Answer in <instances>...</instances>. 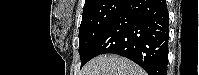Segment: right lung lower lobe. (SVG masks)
Masks as SVG:
<instances>
[{
    "instance_id": "obj_1",
    "label": "right lung lower lobe",
    "mask_w": 199,
    "mask_h": 75,
    "mask_svg": "<svg viewBox=\"0 0 199 75\" xmlns=\"http://www.w3.org/2000/svg\"><path fill=\"white\" fill-rule=\"evenodd\" d=\"M168 25L166 0H127L94 46L92 58L118 54L149 75H167Z\"/></svg>"
}]
</instances>
